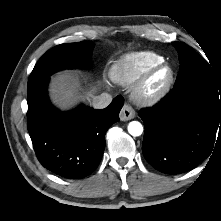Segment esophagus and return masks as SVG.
I'll return each mask as SVG.
<instances>
[{
  "label": "esophagus",
  "mask_w": 221,
  "mask_h": 221,
  "mask_svg": "<svg viewBox=\"0 0 221 221\" xmlns=\"http://www.w3.org/2000/svg\"><path fill=\"white\" fill-rule=\"evenodd\" d=\"M135 115H136V113H135L134 109L128 104H125L123 106V108L121 109L120 114H119L120 119L122 121L131 120L135 117Z\"/></svg>",
  "instance_id": "34e87169"
}]
</instances>
